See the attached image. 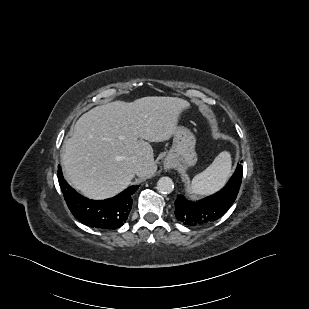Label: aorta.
<instances>
[{"mask_svg":"<svg viewBox=\"0 0 309 309\" xmlns=\"http://www.w3.org/2000/svg\"><path fill=\"white\" fill-rule=\"evenodd\" d=\"M157 189L162 194H170L174 189V183L169 177H161L157 182Z\"/></svg>","mask_w":309,"mask_h":309,"instance_id":"1","label":"aorta"}]
</instances>
